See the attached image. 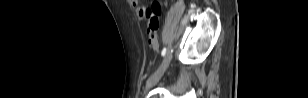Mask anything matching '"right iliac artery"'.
Here are the masks:
<instances>
[{
  "label": "right iliac artery",
  "mask_w": 308,
  "mask_h": 98,
  "mask_svg": "<svg viewBox=\"0 0 308 98\" xmlns=\"http://www.w3.org/2000/svg\"><path fill=\"white\" fill-rule=\"evenodd\" d=\"M172 51H173V49H172L171 45H168L167 48H164V49L162 50V56H164V60H163L162 64L160 65V67H159V68L157 69V71L150 77L149 80H151L152 78H154L157 74H159V73L166 67L165 57H166L167 54H172ZM149 80H148V81H149Z\"/></svg>",
  "instance_id": "82829eb1"
}]
</instances>
